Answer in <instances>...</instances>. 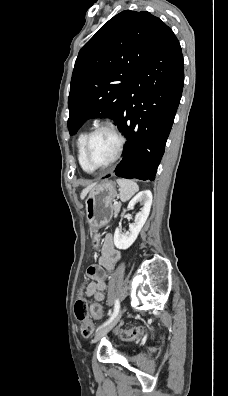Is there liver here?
<instances>
[{
	"mask_svg": "<svg viewBox=\"0 0 228 396\" xmlns=\"http://www.w3.org/2000/svg\"><path fill=\"white\" fill-rule=\"evenodd\" d=\"M89 187H90V186H88V187H86L85 189L82 190L81 195H80V198H81V199H83V198L85 197V195H86L87 192H88Z\"/></svg>",
	"mask_w": 228,
	"mask_h": 396,
	"instance_id": "obj_1",
	"label": "liver"
}]
</instances>
